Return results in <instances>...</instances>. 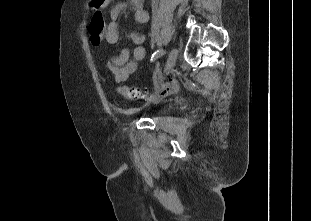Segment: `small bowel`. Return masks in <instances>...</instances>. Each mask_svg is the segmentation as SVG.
<instances>
[{"instance_id": "obj_1", "label": "small bowel", "mask_w": 311, "mask_h": 221, "mask_svg": "<svg viewBox=\"0 0 311 221\" xmlns=\"http://www.w3.org/2000/svg\"><path fill=\"white\" fill-rule=\"evenodd\" d=\"M127 5L133 9L134 19L137 23L145 24L149 20V15L143 8L142 0H129L128 3L116 4L110 10V22L105 31V39L110 45L117 44L119 40L117 21ZM131 38L136 44L132 58L130 57V51L123 49L120 54L113 56L108 64V68L117 82L126 80L130 74L134 73L138 68V63L146 56V50L143 46L144 36L139 33H133Z\"/></svg>"}]
</instances>
